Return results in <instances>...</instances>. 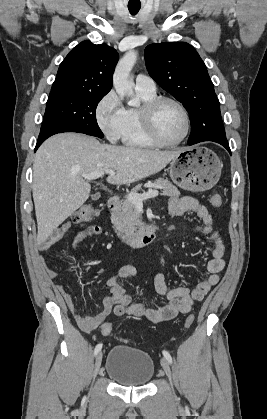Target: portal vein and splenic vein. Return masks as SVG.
Segmentation results:
<instances>
[{"label":"portal vein and splenic vein","mask_w":267,"mask_h":419,"mask_svg":"<svg viewBox=\"0 0 267 419\" xmlns=\"http://www.w3.org/2000/svg\"><path fill=\"white\" fill-rule=\"evenodd\" d=\"M104 173L110 174V176H114L115 172L114 170L108 169L105 171H96L88 174H82L81 176L87 180H93L97 179L104 175ZM159 192L158 190H149L146 193L138 194V193H129L126 195V198L130 200L135 205H142L143 200H146L148 198H153L158 196Z\"/></svg>","instance_id":"portal-vein-and-splenic-vein-1"}]
</instances>
